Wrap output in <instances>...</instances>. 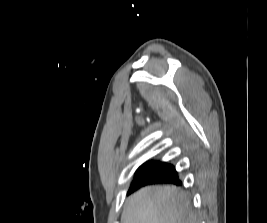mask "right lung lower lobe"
I'll use <instances>...</instances> for the list:
<instances>
[{"mask_svg":"<svg viewBox=\"0 0 267 223\" xmlns=\"http://www.w3.org/2000/svg\"><path fill=\"white\" fill-rule=\"evenodd\" d=\"M157 183H173L176 185H180L181 182L178 178L177 172L174 170L171 173H160V172H150L145 171L141 173H137L135 175L134 181L129 189V193L133 192L134 190L150 184H157Z\"/></svg>","mask_w":267,"mask_h":223,"instance_id":"obj_1","label":"right lung lower lobe"}]
</instances>
